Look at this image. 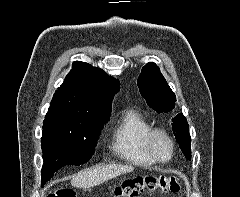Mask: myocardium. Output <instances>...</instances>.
I'll return each mask as SVG.
<instances>
[{
	"label": "myocardium",
	"instance_id": "myocardium-1",
	"mask_svg": "<svg viewBox=\"0 0 240 197\" xmlns=\"http://www.w3.org/2000/svg\"><path fill=\"white\" fill-rule=\"evenodd\" d=\"M157 136H163L170 144V154L168 158H161L154 147V140ZM145 147L149 156L156 162L160 164H166L170 162L175 154V143L171 135L162 128H152L146 135L145 138Z\"/></svg>",
	"mask_w": 240,
	"mask_h": 197
}]
</instances>
